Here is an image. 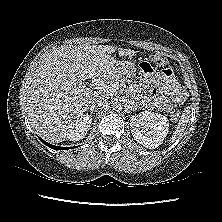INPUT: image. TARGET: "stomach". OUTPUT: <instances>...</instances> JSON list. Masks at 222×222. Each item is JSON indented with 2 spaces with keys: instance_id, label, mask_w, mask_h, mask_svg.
Here are the masks:
<instances>
[{
  "instance_id": "0dacf381",
  "label": "stomach",
  "mask_w": 222,
  "mask_h": 222,
  "mask_svg": "<svg viewBox=\"0 0 222 222\" xmlns=\"http://www.w3.org/2000/svg\"><path fill=\"white\" fill-rule=\"evenodd\" d=\"M119 73L125 78L134 77L136 75V67L131 62H121L119 64Z\"/></svg>"
}]
</instances>
